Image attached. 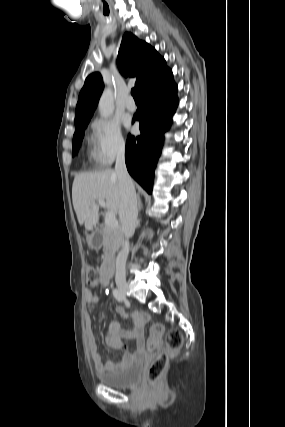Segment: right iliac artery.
<instances>
[{
  "label": "right iliac artery",
  "mask_w": 285,
  "mask_h": 427,
  "mask_svg": "<svg viewBox=\"0 0 285 427\" xmlns=\"http://www.w3.org/2000/svg\"><path fill=\"white\" fill-rule=\"evenodd\" d=\"M113 295L119 302L123 301V295L118 289L113 290Z\"/></svg>",
  "instance_id": "right-iliac-artery-1"
}]
</instances>
